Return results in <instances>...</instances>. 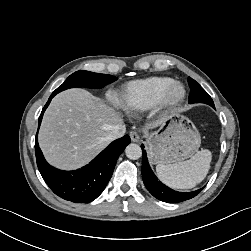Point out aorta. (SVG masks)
Returning a JSON list of instances; mask_svg holds the SVG:
<instances>
[{"label": "aorta", "instance_id": "762f6f07", "mask_svg": "<svg viewBox=\"0 0 251 251\" xmlns=\"http://www.w3.org/2000/svg\"><path fill=\"white\" fill-rule=\"evenodd\" d=\"M126 156L129 159L137 160L142 156L141 147L138 144L131 143L125 149Z\"/></svg>", "mask_w": 251, "mask_h": 251}]
</instances>
